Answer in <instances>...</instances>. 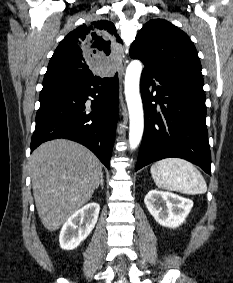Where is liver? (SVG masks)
I'll list each match as a JSON object with an SVG mask.
<instances>
[{"label":"liver","instance_id":"6515ba94","mask_svg":"<svg viewBox=\"0 0 233 283\" xmlns=\"http://www.w3.org/2000/svg\"><path fill=\"white\" fill-rule=\"evenodd\" d=\"M33 196L49 231L59 229L99 186L102 164L86 147L66 139L41 144L30 157Z\"/></svg>","mask_w":233,"mask_h":283}]
</instances>
